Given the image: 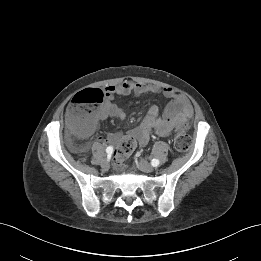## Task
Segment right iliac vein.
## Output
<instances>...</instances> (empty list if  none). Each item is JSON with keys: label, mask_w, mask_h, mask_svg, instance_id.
<instances>
[{"label": "right iliac vein", "mask_w": 261, "mask_h": 261, "mask_svg": "<svg viewBox=\"0 0 261 261\" xmlns=\"http://www.w3.org/2000/svg\"><path fill=\"white\" fill-rule=\"evenodd\" d=\"M101 167H102L103 169H108V168H109V162H108V160L103 159V160L101 161Z\"/></svg>", "instance_id": "1"}]
</instances>
